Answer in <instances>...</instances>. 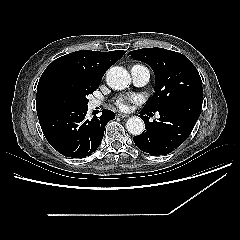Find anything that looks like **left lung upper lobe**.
I'll list each match as a JSON object with an SVG mask.
<instances>
[{"mask_svg":"<svg viewBox=\"0 0 240 240\" xmlns=\"http://www.w3.org/2000/svg\"><path fill=\"white\" fill-rule=\"evenodd\" d=\"M128 55L147 63L155 74V93L144 110L161 111L184 100L203 98L200 75L186 56L163 48H143Z\"/></svg>","mask_w":240,"mask_h":240,"instance_id":"left-lung-upper-lobe-1","label":"left lung upper lobe"}]
</instances>
